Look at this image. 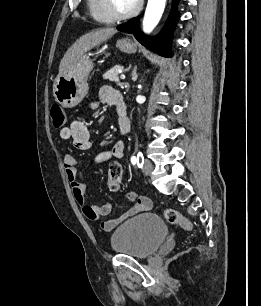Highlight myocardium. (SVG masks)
Returning a JSON list of instances; mask_svg holds the SVG:
<instances>
[{
    "mask_svg": "<svg viewBox=\"0 0 261 306\" xmlns=\"http://www.w3.org/2000/svg\"><path fill=\"white\" fill-rule=\"evenodd\" d=\"M103 7L106 13L113 19V20H125L135 16L142 8L143 0H138L137 4L133 9L128 12L120 13L115 9L113 0H102Z\"/></svg>",
    "mask_w": 261,
    "mask_h": 306,
    "instance_id": "f54148a6",
    "label": "myocardium"
}]
</instances>
